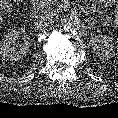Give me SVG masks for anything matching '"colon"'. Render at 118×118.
Masks as SVG:
<instances>
[{
	"instance_id": "colon-1",
	"label": "colon",
	"mask_w": 118,
	"mask_h": 118,
	"mask_svg": "<svg viewBox=\"0 0 118 118\" xmlns=\"http://www.w3.org/2000/svg\"><path fill=\"white\" fill-rule=\"evenodd\" d=\"M16 1H20V0H1L0 1V11H4L6 9V6L9 3L16 2Z\"/></svg>"
}]
</instances>
